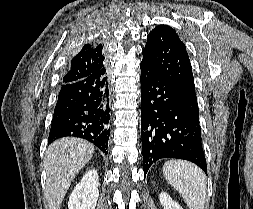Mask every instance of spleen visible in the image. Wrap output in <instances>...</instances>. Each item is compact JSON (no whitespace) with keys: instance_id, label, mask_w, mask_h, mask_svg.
Segmentation results:
<instances>
[{"instance_id":"3e777b00","label":"spleen","mask_w":253,"mask_h":209,"mask_svg":"<svg viewBox=\"0 0 253 209\" xmlns=\"http://www.w3.org/2000/svg\"><path fill=\"white\" fill-rule=\"evenodd\" d=\"M167 182L183 197L189 209H204L206 201V176L196 165L170 160L163 166Z\"/></svg>"}]
</instances>
